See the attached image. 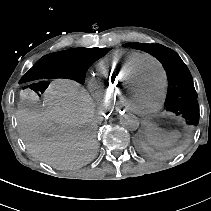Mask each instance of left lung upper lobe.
I'll return each mask as SVG.
<instances>
[{"label":"left lung upper lobe","mask_w":211,"mask_h":211,"mask_svg":"<svg viewBox=\"0 0 211 211\" xmlns=\"http://www.w3.org/2000/svg\"><path fill=\"white\" fill-rule=\"evenodd\" d=\"M127 46L145 51L163 64L168 78V92L165 101L167 110L183 116L189 125H198L197 92L191 73L179 55L160 44L127 43L123 45V47Z\"/></svg>","instance_id":"5c2ea615"}]
</instances>
